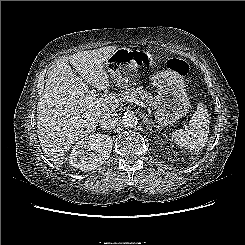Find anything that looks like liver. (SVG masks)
Masks as SVG:
<instances>
[{
	"instance_id": "obj_1",
	"label": "liver",
	"mask_w": 245,
	"mask_h": 245,
	"mask_svg": "<svg viewBox=\"0 0 245 245\" xmlns=\"http://www.w3.org/2000/svg\"><path fill=\"white\" fill-rule=\"evenodd\" d=\"M116 50L117 46H106L62 56L48 75L37 105V134L42 150L55 165L61 167L72 145L91 134L104 115L115 112V95L91 100L87 84L97 90L110 86L104 62Z\"/></svg>"
}]
</instances>
